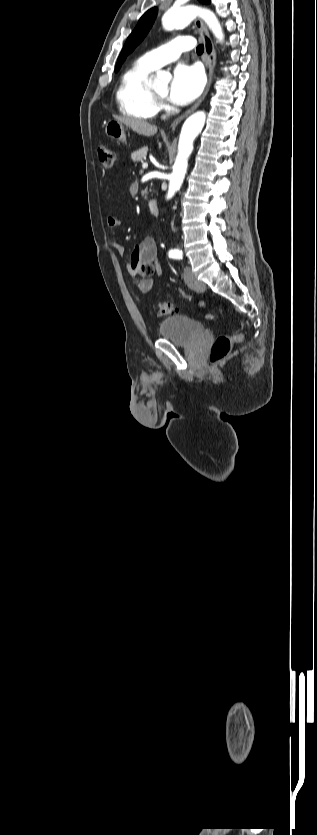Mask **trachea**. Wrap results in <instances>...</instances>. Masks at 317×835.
<instances>
[{
  "mask_svg": "<svg viewBox=\"0 0 317 835\" xmlns=\"http://www.w3.org/2000/svg\"><path fill=\"white\" fill-rule=\"evenodd\" d=\"M196 51L198 54H202L204 52V46L202 44L198 45Z\"/></svg>",
  "mask_w": 317,
  "mask_h": 835,
  "instance_id": "1",
  "label": "trachea"
}]
</instances>
